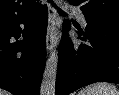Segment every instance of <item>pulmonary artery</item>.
I'll return each instance as SVG.
<instances>
[{"label": "pulmonary artery", "instance_id": "e3ab8cb5", "mask_svg": "<svg viewBox=\"0 0 119 95\" xmlns=\"http://www.w3.org/2000/svg\"><path fill=\"white\" fill-rule=\"evenodd\" d=\"M72 10L77 15V17H78L79 21L81 22V24L83 26H85L86 25V19H85V16L83 15V13L77 8H73Z\"/></svg>", "mask_w": 119, "mask_h": 95}]
</instances>
